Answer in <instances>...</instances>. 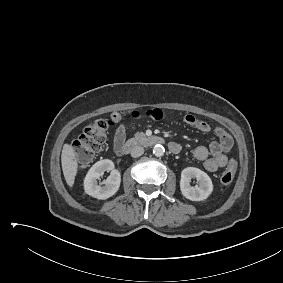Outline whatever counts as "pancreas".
<instances>
[{
    "label": "pancreas",
    "mask_w": 283,
    "mask_h": 283,
    "mask_svg": "<svg viewBox=\"0 0 283 283\" xmlns=\"http://www.w3.org/2000/svg\"><path fill=\"white\" fill-rule=\"evenodd\" d=\"M145 138V134L143 132H137L134 136L135 140L142 141Z\"/></svg>",
    "instance_id": "obj_1"
}]
</instances>
